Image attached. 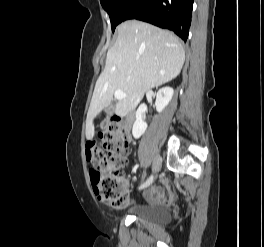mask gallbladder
Masks as SVG:
<instances>
[{"mask_svg":"<svg viewBox=\"0 0 264 247\" xmlns=\"http://www.w3.org/2000/svg\"><path fill=\"white\" fill-rule=\"evenodd\" d=\"M111 113H114L113 111H110ZM110 115V114H109ZM109 122H108V120H104L103 122H102V124H101V128H105V126L108 124Z\"/></svg>","mask_w":264,"mask_h":247,"instance_id":"gallbladder-1","label":"gallbladder"}]
</instances>
